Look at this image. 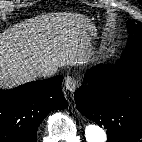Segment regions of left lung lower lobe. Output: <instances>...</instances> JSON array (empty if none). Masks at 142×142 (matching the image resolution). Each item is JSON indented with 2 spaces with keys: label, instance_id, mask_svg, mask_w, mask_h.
<instances>
[{
  "label": "left lung lower lobe",
  "instance_id": "1",
  "mask_svg": "<svg viewBox=\"0 0 142 142\" xmlns=\"http://www.w3.org/2000/svg\"><path fill=\"white\" fill-rule=\"evenodd\" d=\"M75 102L85 117L107 129V142H137L142 138V62L93 67L75 91Z\"/></svg>",
  "mask_w": 142,
  "mask_h": 142
}]
</instances>
